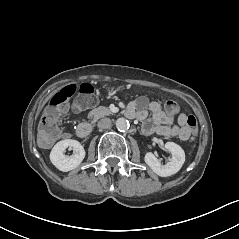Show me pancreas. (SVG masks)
<instances>
[{
    "label": "pancreas",
    "instance_id": "pancreas-1",
    "mask_svg": "<svg viewBox=\"0 0 239 239\" xmlns=\"http://www.w3.org/2000/svg\"><path fill=\"white\" fill-rule=\"evenodd\" d=\"M107 115H112V112L106 107L100 106L96 109L90 111L87 115L88 120H91V123L96 122L98 119L103 118Z\"/></svg>",
    "mask_w": 239,
    "mask_h": 239
}]
</instances>
